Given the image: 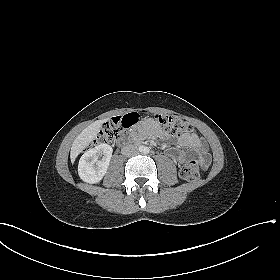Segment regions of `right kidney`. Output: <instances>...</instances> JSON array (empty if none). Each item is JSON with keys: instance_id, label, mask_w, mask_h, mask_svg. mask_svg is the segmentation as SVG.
<instances>
[{"instance_id": "1", "label": "right kidney", "mask_w": 280, "mask_h": 280, "mask_svg": "<svg viewBox=\"0 0 280 280\" xmlns=\"http://www.w3.org/2000/svg\"><path fill=\"white\" fill-rule=\"evenodd\" d=\"M112 152V147L104 143L86 151L79 160L80 178L90 184L100 182L107 172ZM99 157H101L100 160H98Z\"/></svg>"}]
</instances>
